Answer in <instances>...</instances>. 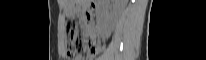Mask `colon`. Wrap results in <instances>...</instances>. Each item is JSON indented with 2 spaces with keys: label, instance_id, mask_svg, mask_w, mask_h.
<instances>
[{
  "label": "colon",
  "instance_id": "1",
  "mask_svg": "<svg viewBox=\"0 0 206 60\" xmlns=\"http://www.w3.org/2000/svg\"><path fill=\"white\" fill-rule=\"evenodd\" d=\"M66 34L68 40L67 57L69 60H74L82 48L78 27L75 22L70 21L66 24Z\"/></svg>",
  "mask_w": 206,
  "mask_h": 60
}]
</instances>
